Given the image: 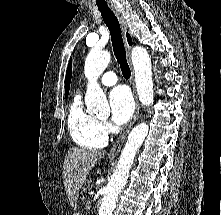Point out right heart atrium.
Wrapping results in <instances>:
<instances>
[{
	"label": "right heart atrium",
	"mask_w": 221,
	"mask_h": 215,
	"mask_svg": "<svg viewBox=\"0 0 221 215\" xmlns=\"http://www.w3.org/2000/svg\"><path fill=\"white\" fill-rule=\"evenodd\" d=\"M99 131L104 137H107L113 132V127L108 121L102 120L99 122Z\"/></svg>",
	"instance_id": "right-heart-atrium-1"
}]
</instances>
